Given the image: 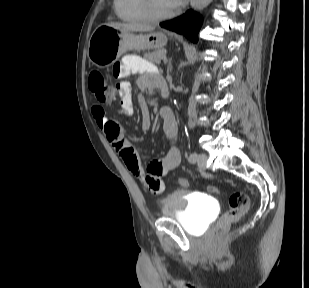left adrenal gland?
<instances>
[{"mask_svg":"<svg viewBox=\"0 0 309 288\" xmlns=\"http://www.w3.org/2000/svg\"><path fill=\"white\" fill-rule=\"evenodd\" d=\"M171 58L169 59V63H168V69H167V72H172V64H171Z\"/></svg>","mask_w":309,"mask_h":288,"instance_id":"a2214340","label":"left adrenal gland"}]
</instances>
